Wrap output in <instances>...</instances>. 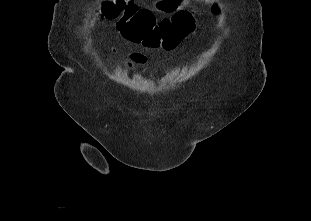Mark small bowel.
Segmentation results:
<instances>
[{
	"label": "small bowel",
	"instance_id": "1",
	"mask_svg": "<svg viewBox=\"0 0 311 221\" xmlns=\"http://www.w3.org/2000/svg\"><path fill=\"white\" fill-rule=\"evenodd\" d=\"M147 63V56L143 51H133L130 53L126 64L129 67L134 65H145Z\"/></svg>",
	"mask_w": 311,
	"mask_h": 221
}]
</instances>
